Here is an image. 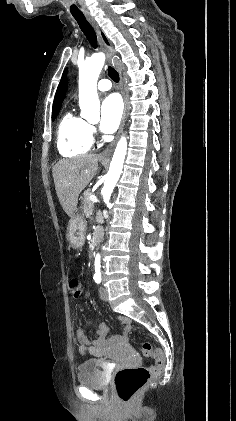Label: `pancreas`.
<instances>
[{
	"label": "pancreas",
	"mask_w": 236,
	"mask_h": 421,
	"mask_svg": "<svg viewBox=\"0 0 236 421\" xmlns=\"http://www.w3.org/2000/svg\"><path fill=\"white\" fill-rule=\"evenodd\" d=\"M90 194H94V192H91V190H85L84 192V215L89 219L91 217L93 211H94V202L93 200H90L89 196ZM97 223H100L102 225L103 223V217L101 211H97V215L95 217Z\"/></svg>",
	"instance_id": "pancreas-1"
}]
</instances>
